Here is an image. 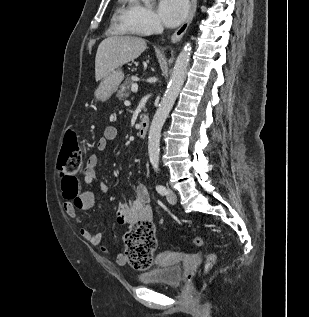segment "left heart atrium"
Returning <instances> with one entry per match:
<instances>
[{
	"mask_svg": "<svg viewBox=\"0 0 309 317\" xmlns=\"http://www.w3.org/2000/svg\"><path fill=\"white\" fill-rule=\"evenodd\" d=\"M189 11L188 0H160L158 13L162 22L168 27L179 25Z\"/></svg>",
	"mask_w": 309,
	"mask_h": 317,
	"instance_id": "obj_1",
	"label": "left heart atrium"
}]
</instances>
